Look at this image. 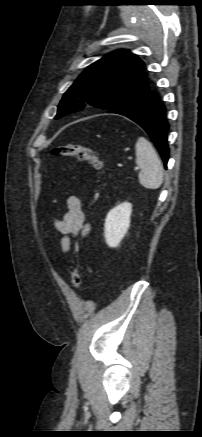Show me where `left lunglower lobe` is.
<instances>
[{
  "label": "left lung lower lobe",
  "instance_id": "left-lung-lower-lobe-1",
  "mask_svg": "<svg viewBox=\"0 0 202 437\" xmlns=\"http://www.w3.org/2000/svg\"><path fill=\"white\" fill-rule=\"evenodd\" d=\"M108 113L123 115L139 124L155 144L163 159L164 166L167 167L169 158L167 130L169 124L165 117V107L155 91L148 89L146 92L110 109Z\"/></svg>",
  "mask_w": 202,
  "mask_h": 437
}]
</instances>
